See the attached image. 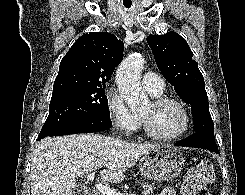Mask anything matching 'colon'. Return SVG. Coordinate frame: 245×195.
I'll list each match as a JSON object with an SVG mask.
<instances>
[{
  "mask_svg": "<svg viewBox=\"0 0 245 195\" xmlns=\"http://www.w3.org/2000/svg\"><path fill=\"white\" fill-rule=\"evenodd\" d=\"M215 177L210 161H203L187 171L181 185V195H209L206 185Z\"/></svg>",
  "mask_w": 245,
  "mask_h": 195,
  "instance_id": "5ec220e1",
  "label": "colon"
}]
</instances>
